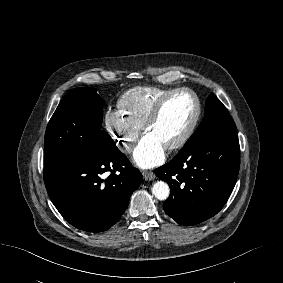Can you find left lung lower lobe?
I'll return each instance as SVG.
<instances>
[{"label":"left lung lower lobe","mask_w":283,"mask_h":283,"mask_svg":"<svg viewBox=\"0 0 283 283\" xmlns=\"http://www.w3.org/2000/svg\"><path fill=\"white\" fill-rule=\"evenodd\" d=\"M239 153L236 132L184 146L170 162L155 169L171 189L164 211L182 225H195L217 214L235 186Z\"/></svg>","instance_id":"0a47b994"}]
</instances>
